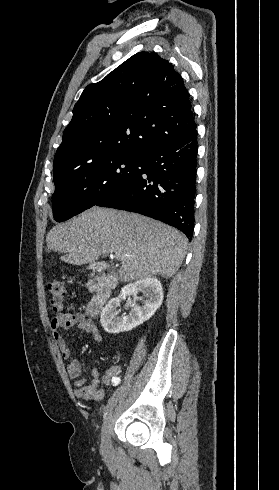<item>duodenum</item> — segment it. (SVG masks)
I'll return each mask as SVG.
<instances>
[{"label": "duodenum", "instance_id": "obj_1", "mask_svg": "<svg viewBox=\"0 0 279 490\" xmlns=\"http://www.w3.org/2000/svg\"><path fill=\"white\" fill-rule=\"evenodd\" d=\"M91 268L100 273L98 290L89 301L86 309L87 315L94 317L102 311L110 299L117 286V278L108 272V265L106 263L95 262L91 265Z\"/></svg>", "mask_w": 279, "mask_h": 490}]
</instances>
